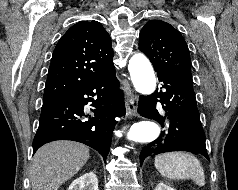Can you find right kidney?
Here are the masks:
<instances>
[{"label":"right kidney","instance_id":"ca27d5eb","mask_svg":"<svg viewBox=\"0 0 238 190\" xmlns=\"http://www.w3.org/2000/svg\"><path fill=\"white\" fill-rule=\"evenodd\" d=\"M68 190H98V179L94 172H88L75 179Z\"/></svg>","mask_w":238,"mask_h":190}]
</instances>
